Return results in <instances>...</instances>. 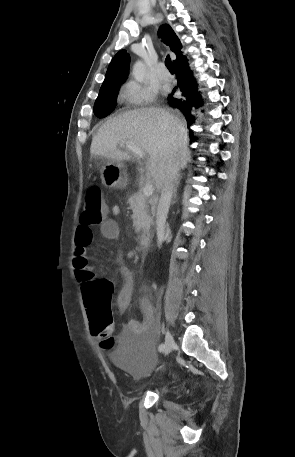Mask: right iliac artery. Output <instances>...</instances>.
I'll return each instance as SVG.
<instances>
[{"label": "right iliac artery", "instance_id": "1", "mask_svg": "<svg viewBox=\"0 0 295 457\" xmlns=\"http://www.w3.org/2000/svg\"><path fill=\"white\" fill-rule=\"evenodd\" d=\"M158 349H159L160 352L163 351L164 350V344H161Z\"/></svg>", "mask_w": 295, "mask_h": 457}]
</instances>
